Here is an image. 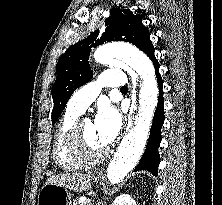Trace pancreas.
<instances>
[{"mask_svg":"<svg viewBox=\"0 0 222 205\" xmlns=\"http://www.w3.org/2000/svg\"><path fill=\"white\" fill-rule=\"evenodd\" d=\"M73 205H91V200H85L83 202L77 201Z\"/></svg>","mask_w":222,"mask_h":205,"instance_id":"cf45deb5","label":"pancreas"}]
</instances>
